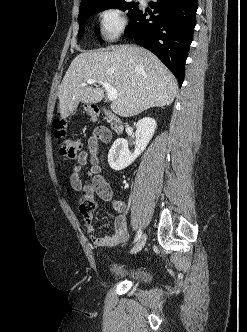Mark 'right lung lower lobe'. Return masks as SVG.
Listing matches in <instances>:
<instances>
[{"label":"right lung lower lobe","mask_w":247,"mask_h":332,"mask_svg":"<svg viewBox=\"0 0 247 332\" xmlns=\"http://www.w3.org/2000/svg\"><path fill=\"white\" fill-rule=\"evenodd\" d=\"M149 5L157 15L147 19L149 11L139 9L130 17L125 35L152 51L181 85L196 25L197 0H156Z\"/></svg>","instance_id":"1"}]
</instances>
